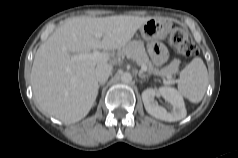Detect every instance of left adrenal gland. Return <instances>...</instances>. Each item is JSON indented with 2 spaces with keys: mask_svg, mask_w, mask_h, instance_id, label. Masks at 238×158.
<instances>
[{
  "mask_svg": "<svg viewBox=\"0 0 238 158\" xmlns=\"http://www.w3.org/2000/svg\"><path fill=\"white\" fill-rule=\"evenodd\" d=\"M139 77L142 79V80H145L146 77H148V75H145L143 74L142 72H139Z\"/></svg>",
  "mask_w": 238,
  "mask_h": 158,
  "instance_id": "left-adrenal-gland-1",
  "label": "left adrenal gland"
}]
</instances>
